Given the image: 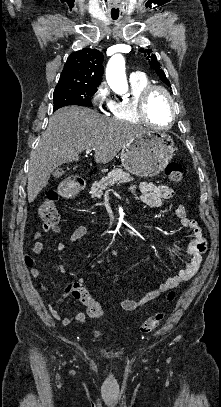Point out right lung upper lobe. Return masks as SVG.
Here are the masks:
<instances>
[{
	"mask_svg": "<svg viewBox=\"0 0 221 407\" xmlns=\"http://www.w3.org/2000/svg\"><path fill=\"white\" fill-rule=\"evenodd\" d=\"M103 54L90 48L73 52L67 59L56 87L100 85L103 76Z\"/></svg>",
	"mask_w": 221,
	"mask_h": 407,
	"instance_id": "obj_1",
	"label": "right lung upper lobe"
}]
</instances>
